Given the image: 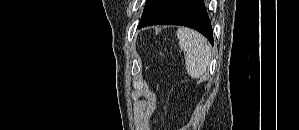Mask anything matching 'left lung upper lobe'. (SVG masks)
<instances>
[{
	"instance_id": "5c2ea615",
	"label": "left lung upper lobe",
	"mask_w": 299,
	"mask_h": 130,
	"mask_svg": "<svg viewBox=\"0 0 299 130\" xmlns=\"http://www.w3.org/2000/svg\"><path fill=\"white\" fill-rule=\"evenodd\" d=\"M151 3H152V0H147L146 5H145V9H144V12H143V15H142V18L147 14V12H148V10L150 8Z\"/></svg>"
}]
</instances>
